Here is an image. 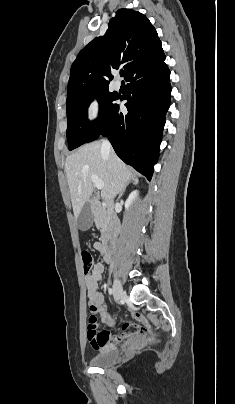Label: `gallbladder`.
<instances>
[{"label": "gallbladder", "mask_w": 235, "mask_h": 404, "mask_svg": "<svg viewBox=\"0 0 235 404\" xmlns=\"http://www.w3.org/2000/svg\"><path fill=\"white\" fill-rule=\"evenodd\" d=\"M76 223L78 229L81 231H86L92 226L93 213L90 201H86L85 204L83 205Z\"/></svg>", "instance_id": "gallbladder-1"}]
</instances>
